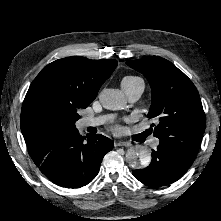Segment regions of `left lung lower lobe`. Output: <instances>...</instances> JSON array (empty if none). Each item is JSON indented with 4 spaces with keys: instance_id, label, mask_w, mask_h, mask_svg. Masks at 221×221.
Masks as SVG:
<instances>
[{
    "instance_id": "1",
    "label": "left lung lower lobe",
    "mask_w": 221,
    "mask_h": 221,
    "mask_svg": "<svg viewBox=\"0 0 221 221\" xmlns=\"http://www.w3.org/2000/svg\"><path fill=\"white\" fill-rule=\"evenodd\" d=\"M152 152L150 165L132 172L136 179L152 188L169 185L177 181L186 173L194 161L162 145H158L157 149L152 150Z\"/></svg>"
}]
</instances>
